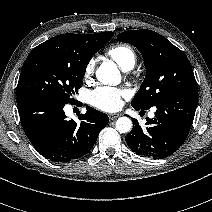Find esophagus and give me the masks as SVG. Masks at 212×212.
<instances>
[{
    "label": "esophagus",
    "instance_id": "esophagus-1",
    "mask_svg": "<svg viewBox=\"0 0 212 212\" xmlns=\"http://www.w3.org/2000/svg\"><path fill=\"white\" fill-rule=\"evenodd\" d=\"M119 117V114H116V113H114V114H109V119L110 120H115V119H117Z\"/></svg>",
    "mask_w": 212,
    "mask_h": 212
}]
</instances>
